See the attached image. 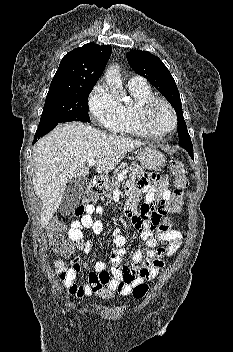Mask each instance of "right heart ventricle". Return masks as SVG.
<instances>
[{
  "mask_svg": "<svg viewBox=\"0 0 233 352\" xmlns=\"http://www.w3.org/2000/svg\"><path fill=\"white\" fill-rule=\"evenodd\" d=\"M128 90L134 101L132 104L121 105L118 132L134 136H146L137 123L136 112L138 106L146 99L153 97L154 94L146 83L128 84Z\"/></svg>",
  "mask_w": 233,
  "mask_h": 352,
  "instance_id": "1",
  "label": "right heart ventricle"
}]
</instances>
